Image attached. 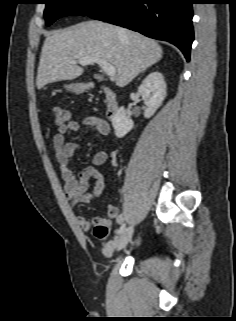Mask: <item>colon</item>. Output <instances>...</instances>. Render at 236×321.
Wrapping results in <instances>:
<instances>
[{"label": "colon", "instance_id": "colon-1", "mask_svg": "<svg viewBox=\"0 0 236 321\" xmlns=\"http://www.w3.org/2000/svg\"><path fill=\"white\" fill-rule=\"evenodd\" d=\"M54 123L57 126H62L69 121V112L62 106L53 108ZM108 223H102L95 226L94 234L98 239H105L108 235Z\"/></svg>", "mask_w": 236, "mask_h": 321}]
</instances>
